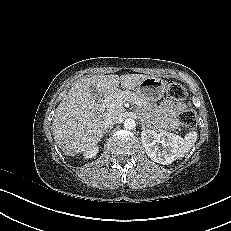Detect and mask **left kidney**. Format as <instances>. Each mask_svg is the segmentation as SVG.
Listing matches in <instances>:
<instances>
[{"label":"left kidney","mask_w":231,"mask_h":231,"mask_svg":"<svg viewBox=\"0 0 231 231\" xmlns=\"http://www.w3.org/2000/svg\"><path fill=\"white\" fill-rule=\"evenodd\" d=\"M141 140L148 157L163 165L171 164L175 160L177 148L182 142L179 135L169 132L157 133L154 130H143Z\"/></svg>","instance_id":"5707ae66"}]
</instances>
